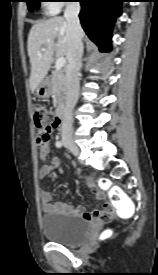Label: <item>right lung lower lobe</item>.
Instances as JSON below:
<instances>
[{
  "instance_id": "1",
  "label": "right lung lower lobe",
  "mask_w": 158,
  "mask_h": 275,
  "mask_svg": "<svg viewBox=\"0 0 158 275\" xmlns=\"http://www.w3.org/2000/svg\"><path fill=\"white\" fill-rule=\"evenodd\" d=\"M82 9L80 20L89 38L101 51H111V33L121 15L122 0H78Z\"/></svg>"
}]
</instances>
